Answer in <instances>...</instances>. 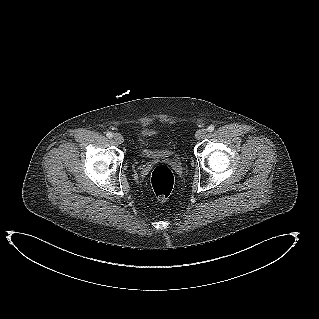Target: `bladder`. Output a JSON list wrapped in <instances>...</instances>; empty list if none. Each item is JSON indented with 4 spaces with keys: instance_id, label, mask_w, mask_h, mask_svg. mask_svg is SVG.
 I'll return each mask as SVG.
<instances>
[{
    "instance_id": "1",
    "label": "bladder",
    "mask_w": 319,
    "mask_h": 319,
    "mask_svg": "<svg viewBox=\"0 0 319 319\" xmlns=\"http://www.w3.org/2000/svg\"><path fill=\"white\" fill-rule=\"evenodd\" d=\"M153 132L150 130L143 131L139 138V153L145 159H155V158H166L173 155V150L171 148L156 149L148 146L145 139L146 137L152 135Z\"/></svg>"
}]
</instances>
